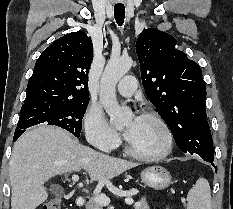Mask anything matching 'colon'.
<instances>
[{
  "mask_svg": "<svg viewBox=\"0 0 233 209\" xmlns=\"http://www.w3.org/2000/svg\"><path fill=\"white\" fill-rule=\"evenodd\" d=\"M42 209H61V201L59 199H51L44 204Z\"/></svg>",
  "mask_w": 233,
  "mask_h": 209,
  "instance_id": "1",
  "label": "colon"
}]
</instances>
